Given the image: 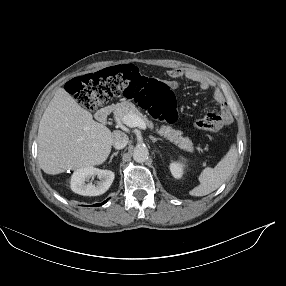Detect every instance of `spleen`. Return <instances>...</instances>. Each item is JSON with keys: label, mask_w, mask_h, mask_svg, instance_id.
<instances>
[{"label": "spleen", "mask_w": 286, "mask_h": 286, "mask_svg": "<svg viewBox=\"0 0 286 286\" xmlns=\"http://www.w3.org/2000/svg\"><path fill=\"white\" fill-rule=\"evenodd\" d=\"M237 159V148L233 144L224 158L214 167L205 168L199 176L200 184L193 188L189 194L192 196H205L221 186L231 174Z\"/></svg>", "instance_id": "3e777b00"}]
</instances>
